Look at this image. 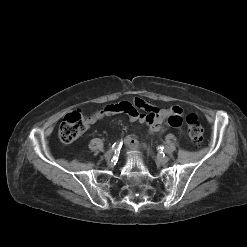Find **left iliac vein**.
<instances>
[{
    "label": "left iliac vein",
    "instance_id": "1",
    "mask_svg": "<svg viewBox=\"0 0 247 247\" xmlns=\"http://www.w3.org/2000/svg\"><path fill=\"white\" fill-rule=\"evenodd\" d=\"M149 151V149H148ZM170 158L168 156H159L157 157V161L160 162L161 164H166Z\"/></svg>",
    "mask_w": 247,
    "mask_h": 247
}]
</instances>
